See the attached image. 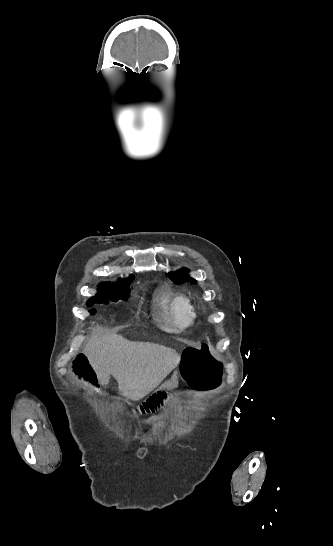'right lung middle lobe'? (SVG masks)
Returning a JSON list of instances; mask_svg holds the SVG:
<instances>
[{"instance_id": "obj_1", "label": "right lung middle lobe", "mask_w": 333, "mask_h": 546, "mask_svg": "<svg viewBox=\"0 0 333 546\" xmlns=\"http://www.w3.org/2000/svg\"><path fill=\"white\" fill-rule=\"evenodd\" d=\"M134 279V276H130L128 279H119V283L103 282L98 286V293L96 296L91 297L87 305L92 306L94 303H109V301L116 302L119 299L127 300L130 282Z\"/></svg>"}]
</instances>
